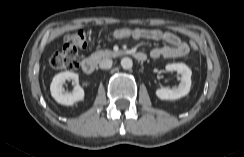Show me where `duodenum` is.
Returning a JSON list of instances; mask_svg holds the SVG:
<instances>
[{"label":"duodenum","mask_w":244,"mask_h":157,"mask_svg":"<svg viewBox=\"0 0 244 157\" xmlns=\"http://www.w3.org/2000/svg\"><path fill=\"white\" fill-rule=\"evenodd\" d=\"M133 56L138 61H145L147 58L146 54L143 52H135V53H133ZM96 66H97V64H96L95 59H93L91 57H86V58L82 59V61H81V68H82L83 72L86 74L94 73L96 70Z\"/></svg>","instance_id":"obj_1"}]
</instances>
